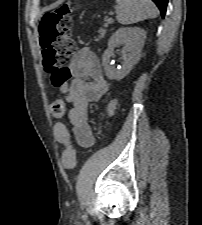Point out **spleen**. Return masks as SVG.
Masks as SVG:
<instances>
[{"label": "spleen", "instance_id": "3e777b00", "mask_svg": "<svg viewBox=\"0 0 202 225\" xmlns=\"http://www.w3.org/2000/svg\"><path fill=\"white\" fill-rule=\"evenodd\" d=\"M116 3L119 5L116 19L123 25L156 18L158 14L151 0H116Z\"/></svg>", "mask_w": 202, "mask_h": 225}]
</instances>
